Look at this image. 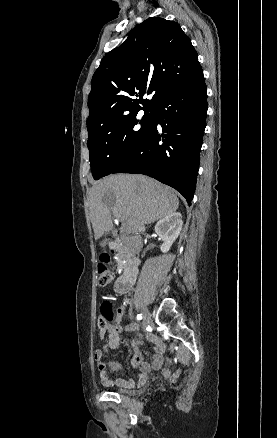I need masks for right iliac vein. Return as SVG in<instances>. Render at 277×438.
<instances>
[{
	"label": "right iliac vein",
	"mask_w": 277,
	"mask_h": 438,
	"mask_svg": "<svg viewBox=\"0 0 277 438\" xmlns=\"http://www.w3.org/2000/svg\"><path fill=\"white\" fill-rule=\"evenodd\" d=\"M142 315H143V326L146 327L151 322V315L146 307L142 308Z\"/></svg>",
	"instance_id": "right-iliac-vein-1"
}]
</instances>
